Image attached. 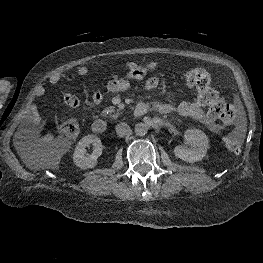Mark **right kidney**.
<instances>
[{
  "label": "right kidney",
  "instance_id": "1",
  "mask_svg": "<svg viewBox=\"0 0 263 263\" xmlns=\"http://www.w3.org/2000/svg\"><path fill=\"white\" fill-rule=\"evenodd\" d=\"M93 145V152L86 156V147ZM102 154V143L100 138L94 135L84 136L76 145L73 161L82 169L93 168L97 165V159Z\"/></svg>",
  "mask_w": 263,
  "mask_h": 263
}]
</instances>
